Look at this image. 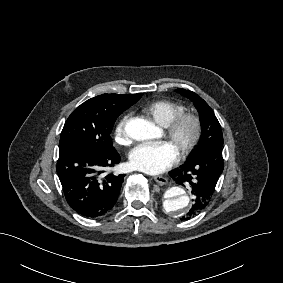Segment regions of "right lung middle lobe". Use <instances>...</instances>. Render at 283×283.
Returning <instances> with one entry per match:
<instances>
[{"mask_svg":"<svg viewBox=\"0 0 283 283\" xmlns=\"http://www.w3.org/2000/svg\"><path fill=\"white\" fill-rule=\"evenodd\" d=\"M142 95L103 94L85 101L65 122L60 146L79 142L101 152L113 150L110 133L117 117Z\"/></svg>","mask_w":283,"mask_h":283,"instance_id":"1","label":"right lung middle lobe"}]
</instances>
